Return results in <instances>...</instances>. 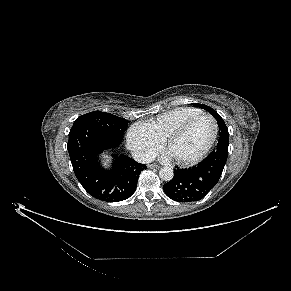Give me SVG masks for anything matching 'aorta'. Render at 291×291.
Segmentation results:
<instances>
[{"label":"aorta","instance_id":"aorta-1","mask_svg":"<svg viewBox=\"0 0 291 291\" xmlns=\"http://www.w3.org/2000/svg\"><path fill=\"white\" fill-rule=\"evenodd\" d=\"M159 176L163 181H170L173 179L174 172L170 167H163L159 171Z\"/></svg>","mask_w":291,"mask_h":291}]
</instances>
